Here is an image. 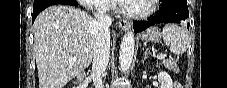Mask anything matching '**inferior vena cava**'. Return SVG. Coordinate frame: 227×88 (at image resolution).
<instances>
[{
    "label": "inferior vena cava",
    "instance_id": "obj_1",
    "mask_svg": "<svg viewBox=\"0 0 227 88\" xmlns=\"http://www.w3.org/2000/svg\"><path fill=\"white\" fill-rule=\"evenodd\" d=\"M96 19L95 25V47L92 64V74L95 87L103 88L102 74L105 72L110 56V32L109 27L112 24V18L104 12L94 13Z\"/></svg>",
    "mask_w": 227,
    "mask_h": 88
}]
</instances>
